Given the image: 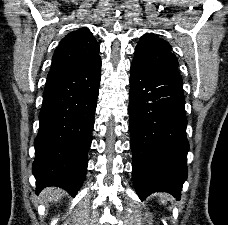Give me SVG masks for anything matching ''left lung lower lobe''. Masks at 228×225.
I'll list each match as a JSON object with an SVG mask.
<instances>
[{
  "mask_svg": "<svg viewBox=\"0 0 228 225\" xmlns=\"http://www.w3.org/2000/svg\"><path fill=\"white\" fill-rule=\"evenodd\" d=\"M129 116L133 184L140 199L159 191L179 199L189 150L181 76L133 60Z\"/></svg>",
  "mask_w": 228,
  "mask_h": 225,
  "instance_id": "1",
  "label": "left lung lower lobe"
}]
</instances>
